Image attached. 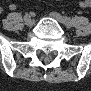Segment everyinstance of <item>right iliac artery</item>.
<instances>
[{
    "instance_id": "1",
    "label": "right iliac artery",
    "mask_w": 91,
    "mask_h": 91,
    "mask_svg": "<svg viewBox=\"0 0 91 91\" xmlns=\"http://www.w3.org/2000/svg\"><path fill=\"white\" fill-rule=\"evenodd\" d=\"M27 16H29L28 14H26L24 17H27Z\"/></svg>"
}]
</instances>
